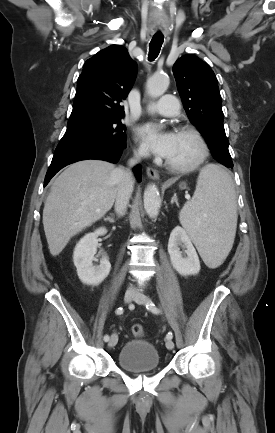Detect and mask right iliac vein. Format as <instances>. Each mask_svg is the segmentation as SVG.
Masks as SVG:
<instances>
[{
	"label": "right iliac vein",
	"mask_w": 275,
	"mask_h": 433,
	"mask_svg": "<svg viewBox=\"0 0 275 433\" xmlns=\"http://www.w3.org/2000/svg\"><path fill=\"white\" fill-rule=\"evenodd\" d=\"M135 293L132 291H127L124 295V301L125 303H130L132 299L134 298ZM118 342V336L116 333H113L110 337V340L108 342V347L112 348L114 347Z\"/></svg>",
	"instance_id": "63e3f726"
}]
</instances>
